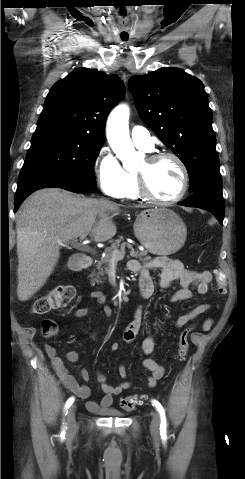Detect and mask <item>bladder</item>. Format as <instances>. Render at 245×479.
<instances>
[{
	"label": "bladder",
	"instance_id": "31cf9c89",
	"mask_svg": "<svg viewBox=\"0 0 245 479\" xmlns=\"http://www.w3.org/2000/svg\"><path fill=\"white\" fill-rule=\"evenodd\" d=\"M105 415L106 416H117V417H121L123 416L124 414L118 410H106L105 411Z\"/></svg>",
	"mask_w": 245,
	"mask_h": 479
}]
</instances>
